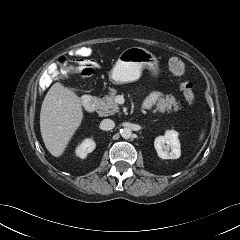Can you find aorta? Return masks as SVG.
Wrapping results in <instances>:
<instances>
[{
  "mask_svg": "<svg viewBox=\"0 0 240 240\" xmlns=\"http://www.w3.org/2000/svg\"><path fill=\"white\" fill-rule=\"evenodd\" d=\"M121 136L124 138V139H129L131 136H132V131L130 128H123L121 130Z\"/></svg>",
  "mask_w": 240,
  "mask_h": 240,
  "instance_id": "762f6f07",
  "label": "aorta"
}]
</instances>
